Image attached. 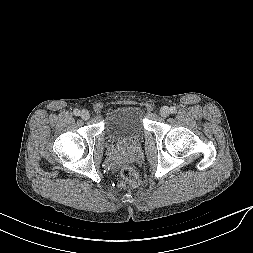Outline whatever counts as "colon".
<instances>
[{
  "instance_id": "5ec220e1",
  "label": "colon",
  "mask_w": 253,
  "mask_h": 253,
  "mask_svg": "<svg viewBox=\"0 0 253 253\" xmlns=\"http://www.w3.org/2000/svg\"><path fill=\"white\" fill-rule=\"evenodd\" d=\"M122 184L129 187H136L138 184V176L131 166H124L121 169Z\"/></svg>"
}]
</instances>
